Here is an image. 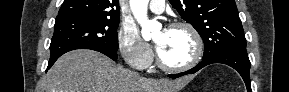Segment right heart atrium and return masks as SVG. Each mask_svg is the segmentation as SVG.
Here are the masks:
<instances>
[{
    "label": "right heart atrium",
    "mask_w": 289,
    "mask_h": 92,
    "mask_svg": "<svg viewBox=\"0 0 289 92\" xmlns=\"http://www.w3.org/2000/svg\"><path fill=\"white\" fill-rule=\"evenodd\" d=\"M118 47L124 60L133 68L143 70L150 66L153 54L140 38L136 28L124 24L118 31Z\"/></svg>",
    "instance_id": "1"
}]
</instances>
